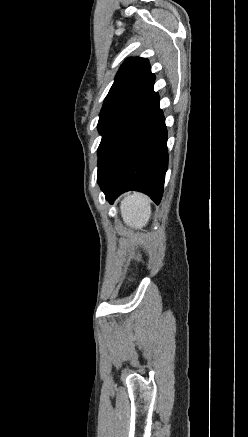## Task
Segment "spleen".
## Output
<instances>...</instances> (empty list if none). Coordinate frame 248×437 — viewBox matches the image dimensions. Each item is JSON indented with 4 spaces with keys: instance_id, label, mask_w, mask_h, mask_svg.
Returning a JSON list of instances; mask_svg holds the SVG:
<instances>
[{
    "instance_id": "1",
    "label": "spleen",
    "mask_w": 248,
    "mask_h": 437,
    "mask_svg": "<svg viewBox=\"0 0 248 437\" xmlns=\"http://www.w3.org/2000/svg\"><path fill=\"white\" fill-rule=\"evenodd\" d=\"M124 222L135 228H142L151 216L150 199L140 193L128 194L120 205Z\"/></svg>"
}]
</instances>
